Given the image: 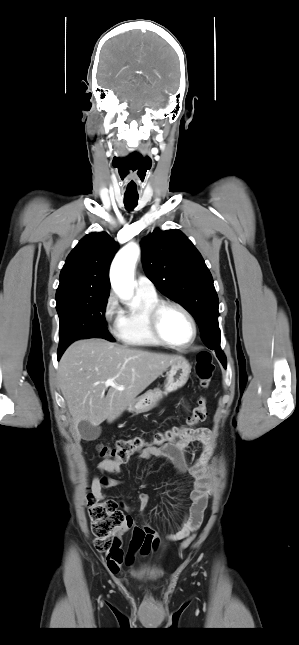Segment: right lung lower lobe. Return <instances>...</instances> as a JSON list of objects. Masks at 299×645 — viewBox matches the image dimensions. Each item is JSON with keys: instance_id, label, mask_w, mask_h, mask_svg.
<instances>
[{"instance_id": "right-lung-lower-lobe-1", "label": "right lung lower lobe", "mask_w": 299, "mask_h": 645, "mask_svg": "<svg viewBox=\"0 0 299 645\" xmlns=\"http://www.w3.org/2000/svg\"><path fill=\"white\" fill-rule=\"evenodd\" d=\"M63 352H64V351H63ZM63 352L58 353V359H60V357H61V355L63 354Z\"/></svg>"}]
</instances>
